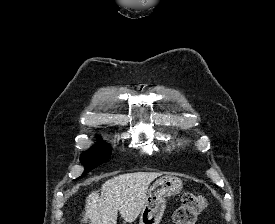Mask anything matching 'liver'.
<instances>
[{
    "label": "liver",
    "mask_w": 275,
    "mask_h": 224,
    "mask_svg": "<svg viewBox=\"0 0 275 224\" xmlns=\"http://www.w3.org/2000/svg\"><path fill=\"white\" fill-rule=\"evenodd\" d=\"M156 172H135L115 176L92 192L86 199L83 223L117 224L118 211L128 223L141 213L150 183L160 176Z\"/></svg>",
    "instance_id": "liver-1"
}]
</instances>
